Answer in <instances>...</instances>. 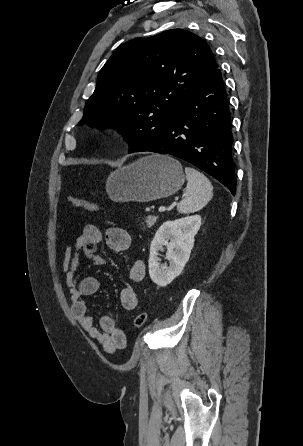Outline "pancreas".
Returning a JSON list of instances; mask_svg holds the SVG:
<instances>
[{
  "instance_id": "cf45deb5",
  "label": "pancreas",
  "mask_w": 303,
  "mask_h": 446,
  "mask_svg": "<svg viewBox=\"0 0 303 446\" xmlns=\"http://www.w3.org/2000/svg\"><path fill=\"white\" fill-rule=\"evenodd\" d=\"M157 217L155 216H148L146 218V226L152 227L156 223Z\"/></svg>"
}]
</instances>
